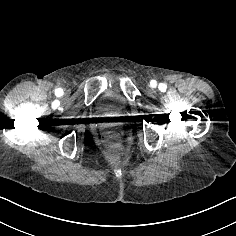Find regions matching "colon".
<instances>
[{
	"instance_id": "obj_1",
	"label": "colon",
	"mask_w": 236,
	"mask_h": 236,
	"mask_svg": "<svg viewBox=\"0 0 236 236\" xmlns=\"http://www.w3.org/2000/svg\"><path fill=\"white\" fill-rule=\"evenodd\" d=\"M107 151L113 158H122L124 155V148L121 143L117 141H109L107 143Z\"/></svg>"
}]
</instances>
